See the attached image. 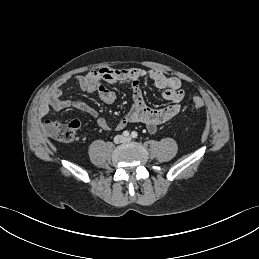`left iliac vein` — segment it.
<instances>
[{
	"label": "left iliac vein",
	"mask_w": 259,
	"mask_h": 259,
	"mask_svg": "<svg viewBox=\"0 0 259 259\" xmlns=\"http://www.w3.org/2000/svg\"><path fill=\"white\" fill-rule=\"evenodd\" d=\"M131 140V138L130 137H127V138H125V141H130Z\"/></svg>",
	"instance_id": "obj_1"
}]
</instances>
